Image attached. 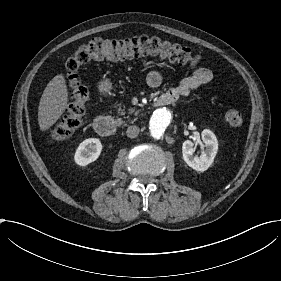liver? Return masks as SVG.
<instances>
[{
	"instance_id": "obj_1",
	"label": "liver",
	"mask_w": 281,
	"mask_h": 281,
	"mask_svg": "<svg viewBox=\"0 0 281 281\" xmlns=\"http://www.w3.org/2000/svg\"><path fill=\"white\" fill-rule=\"evenodd\" d=\"M69 90L64 73H59L46 86L38 107V124L42 132L50 130L69 108Z\"/></svg>"
}]
</instances>
